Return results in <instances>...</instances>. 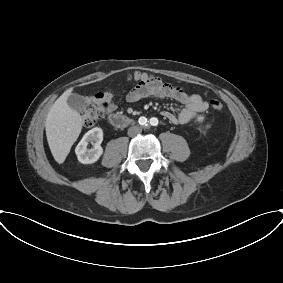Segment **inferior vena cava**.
<instances>
[{
    "label": "inferior vena cava",
    "mask_w": 283,
    "mask_h": 283,
    "mask_svg": "<svg viewBox=\"0 0 283 283\" xmlns=\"http://www.w3.org/2000/svg\"><path fill=\"white\" fill-rule=\"evenodd\" d=\"M141 128L140 127H138V126H132V127H130L129 129H128V135L130 136V137H134V136H136L137 134H139V133H141Z\"/></svg>",
    "instance_id": "1"
}]
</instances>
